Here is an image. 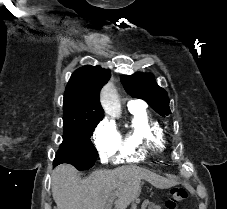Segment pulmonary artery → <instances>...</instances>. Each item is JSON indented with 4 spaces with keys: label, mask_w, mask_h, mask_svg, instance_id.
Segmentation results:
<instances>
[{
    "label": "pulmonary artery",
    "mask_w": 227,
    "mask_h": 209,
    "mask_svg": "<svg viewBox=\"0 0 227 209\" xmlns=\"http://www.w3.org/2000/svg\"><path fill=\"white\" fill-rule=\"evenodd\" d=\"M133 100H130V105H148V100H136L137 96H132Z\"/></svg>",
    "instance_id": "e3ab8cb5"
}]
</instances>
